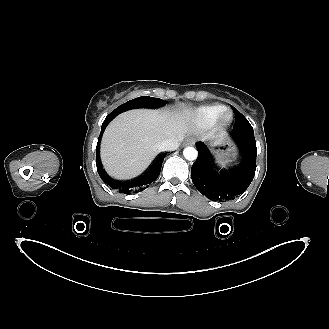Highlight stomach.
<instances>
[{"mask_svg": "<svg viewBox=\"0 0 329 329\" xmlns=\"http://www.w3.org/2000/svg\"><path fill=\"white\" fill-rule=\"evenodd\" d=\"M212 154L221 166H226L236 160L237 152L235 148L226 141L215 144Z\"/></svg>", "mask_w": 329, "mask_h": 329, "instance_id": "0dacf381", "label": "stomach"}]
</instances>
